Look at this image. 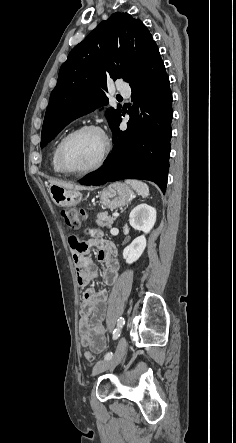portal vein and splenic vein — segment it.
Masks as SVG:
<instances>
[{"label":"portal vein and splenic vein","mask_w":236,"mask_h":443,"mask_svg":"<svg viewBox=\"0 0 236 443\" xmlns=\"http://www.w3.org/2000/svg\"><path fill=\"white\" fill-rule=\"evenodd\" d=\"M112 216H113V217H118V216H119V213L115 212V213L112 214Z\"/></svg>","instance_id":"18ae733b"}]
</instances>
